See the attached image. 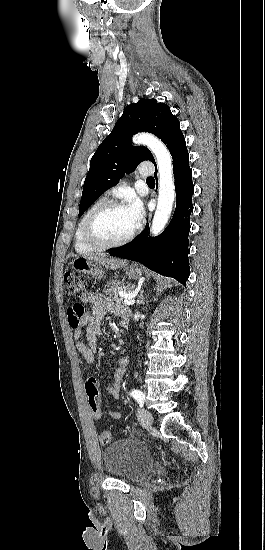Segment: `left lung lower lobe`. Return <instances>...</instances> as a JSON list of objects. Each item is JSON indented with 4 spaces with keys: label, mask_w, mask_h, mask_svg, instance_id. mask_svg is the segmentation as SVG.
Wrapping results in <instances>:
<instances>
[{
    "label": "left lung lower lobe",
    "mask_w": 265,
    "mask_h": 550,
    "mask_svg": "<svg viewBox=\"0 0 265 550\" xmlns=\"http://www.w3.org/2000/svg\"><path fill=\"white\" fill-rule=\"evenodd\" d=\"M176 187V209L169 225L155 238L148 237L149 225L131 243L110 250L111 256L134 260L164 276L173 277L186 285L189 277L188 233L193 211L192 171L189 154L183 142L172 153ZM157 178V173L154 174Z\"/></svg>",
    "instance_id": "0a47b994"
}]
</instances>
